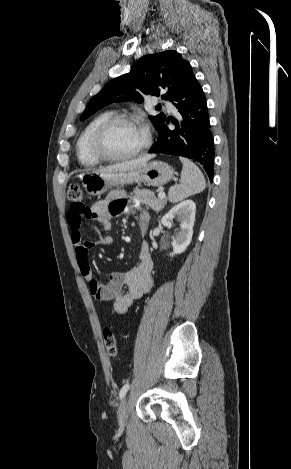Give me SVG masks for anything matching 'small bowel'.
Here are the masks:
<instances>
[{
  "instance_id": "1",
  "label": "small bowel",
  "mask_w": 291,
  "mask_h": 469,
  "mask_svg": "<svg viewBox=\"0 0 291 469\" xmlns=\"http://www.w3.org/2000/svg\"><path fill=\"white\" fill-rule=\"evenodd\" d=\"M133 214L142 233L149 224V214L138 206L131 205L123 191L115 190L100 201L95 202L89 213L78 212L74 207L67 213V224L71 231L72 243L75 246L77 264L81 275L87 281L91 294L99 301H112L114 311L124 314L134 301L150 292L154 286L152 277L153 261L147 242L141 244L139 262L125 272H112L106 283L98 282L92 273L88 253L97 246L111 245L114 241L109 234L111 218ZM91 219L102 226V233L95 239H83V220Z\"/></svg>"
}]
</instances>
